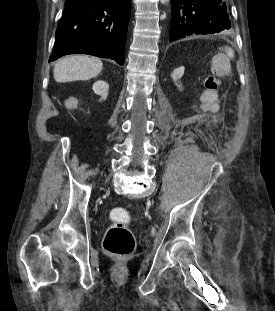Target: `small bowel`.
Listing matches in <instances>:
<instances>
[{"label":"small bowel","mask_w":275,"mask_h":311,"mask_svg":"<svg viewBox=\"0 0 275 311\" xmlns=\"http://www.w3.org/2000/svg\"><path fill=\"white\" fill-rule=\"evenodd\" d=\"M221 56H210V69L205 76L206 80H200L199 86L202 87L200 92L201 112H222L221 98V80H227L230 74L232 62H238L236 50H231L229 46H223Z\"/></svg>","instance_id":"1"}]
</instances>
